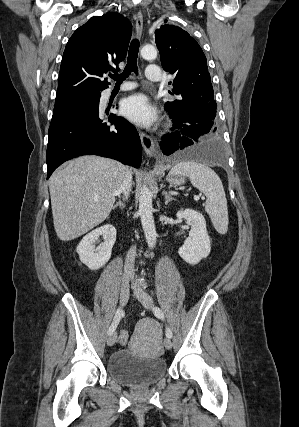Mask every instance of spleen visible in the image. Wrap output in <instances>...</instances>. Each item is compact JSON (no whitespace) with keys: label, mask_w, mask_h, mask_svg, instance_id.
Returning <instances> with one entry per match:
<instances>
[{"label":"spleen","mask_w":299,"mask_h":427,"mask_svg":"<svg viewBox=\"0 0 299 427\" xmlns=\"http://www.w3.org/2000/svg\"><path fill=\"white\" fill-rule=\"evenodd\" d=\"M169 174L187 176L191 184L205 194V211L215 230L225 235L229 224L227 199L222 181L214 170L196 161H183L174 165Z\"/></svg>","instance_id":"spleen-1"}]
</instances>
